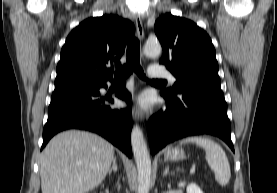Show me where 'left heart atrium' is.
<instances>
[{
  "label": "left heart atrium",
  "mask_w": 277,
  "mask_h": 193,
  "mask_svg": "<svg viewBox=\"0 0 277 193\" xmlns=\"http://www.w3.org/2000/svg\"><path fill=\"white\" fill-rule=\"evenodd\" d=\"M136 105L140 109H147L150 106V98L148 95L143 94L138 97Z\"/></svg>",
  "instance_id": "39dd6f15"
}]
</instances>
